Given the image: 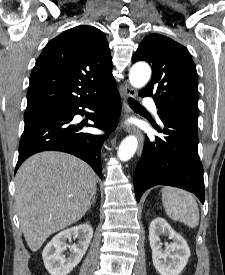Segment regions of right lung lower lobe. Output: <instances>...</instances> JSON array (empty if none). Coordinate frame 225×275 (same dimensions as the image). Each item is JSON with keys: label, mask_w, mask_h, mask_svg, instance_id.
<instances>
[{"label": "right lung lower lobe", "mask_w": 225, "mask_h": 275, "mask_svg": "<svg viewBox=\"0 0 225 275\" xmlns=\"http://www.w3.org/2000/svg\"><path fill=\"white\" fill-rule=\"evenodd\" d=\"M82 108V109H81ZM84 108L100 109L91 116L94 125L105 131L116 128L121 111V100L115 87L88 102L64 104L25 114V128L19 144L16 170L29 156L41 151H62L86 161L101 177V146L104 136L80 132L84 125L71 121Z\"/></svg>", "instance_id": "98d812e1"}]
</instances>
